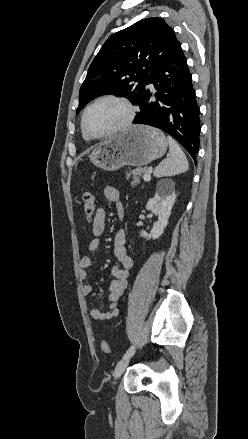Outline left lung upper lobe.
<instances>
[{
	"mask_svg": "<svg viewBox=\"0 0 248 439\" xmlns=\"http://www.w3.org/2000/svg\"><path fill=\"white\" fill-rule=\"evenodd\" d=\"M177 42L172 28L158 17L113 34L89 67L76 113L90 100L108 94L128 97L140 107L152 75Z\"/></svg>",
	"mask_w": 248,
	"mask_h": 439,
	"instance_id": "5c2ea615",
	"label": "left lung upper lobe"
}]
</instances>
